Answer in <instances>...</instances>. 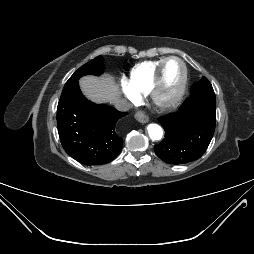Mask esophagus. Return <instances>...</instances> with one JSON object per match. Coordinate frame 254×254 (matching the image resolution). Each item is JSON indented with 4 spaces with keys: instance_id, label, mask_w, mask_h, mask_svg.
I'll return each instance as SVG.
<instances>
[{
    "instance_id": "34e87169",
    "label": "esophagus",
    "mask_w": 254,
    "mask_h": 254,
    "mask_svg": "<svg viewBox=\"0 0 254 254\" xmlns=\"http://www.w3.org/2000/svg\"><path fill=\"white\" fill-rule=\"evenodd\" d=\"M135 118L140 123H147L149 122V117L144 111H137L135 113Z\"/></svg>"
}]
</instances>
